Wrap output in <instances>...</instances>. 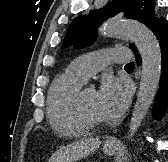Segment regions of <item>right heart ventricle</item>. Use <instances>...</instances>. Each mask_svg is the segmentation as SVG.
<instances>
[{
  "label": "right heart ventricle",
  "mask_w": 168,
  "mask_h": 162,
  "mask_svg": "<svg viewBox=\"0 0 168 162\" xmlns=\"http://www.w3.org/2000/svg\"><path fill=\"white\" fill-rule=\"evenodd\" d=\"M84 81L69 67L53 81L47 99V116L53 130L66 137H78L87 132L76 118L73 102Z\"/></svg>",
  "instance_id": "right-heart-ventricle-1"
}]
</instances>
